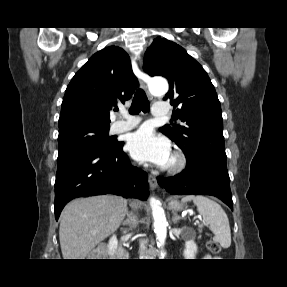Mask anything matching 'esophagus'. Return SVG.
I'll use <instances>...</instances> for the list:
<instances>
[{
	"label": "esophagus",
	"instance_id": "esophagus-1",
	"mask_svg": "<svg viewBox=\"0 0 287 287\" xmlns=\"http://www.w3.org/2000/svg\"><path fill=\"white\" fill-rule=\"evenodd\" d=\"M137 76H138V79H139V82H140V84H141L142 89L147 93L149 99L152 100L153 97H152V96L150 95V93L148 92L147 85H146V83L144 82V77H145L144 73H143L142 71H139L138 74H137ZM148 182H149V185H150V187H151L152 189L157 188L158 183H157V178H156V176L149 174V176H148Z\"/></svg>",
	"mask_w": 287,
	"mask_h": 287
}]
</instances>
